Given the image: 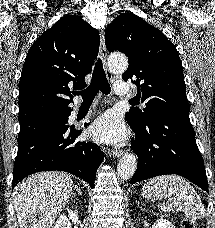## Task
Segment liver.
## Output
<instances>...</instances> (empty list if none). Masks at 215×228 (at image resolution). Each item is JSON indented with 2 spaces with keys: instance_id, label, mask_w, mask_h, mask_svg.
I'll return each mask as SVG.
<instances>
[{
  "instance_id": "liver-1",
  "label": "liver",
  "mask_w": 215,
  "mask_h": 228,
  "mask_svg": "<svg viewBox=\"0 0 215 228\" xmlns=\"http://www.w3.org/2000/svg\"><path fill=\"white\" fill-rule=\"evenodd\" d=\"M73 180L63 172H38L13 190L20 228H52L72 196Z\"/></svg>"
}]
</instances>
